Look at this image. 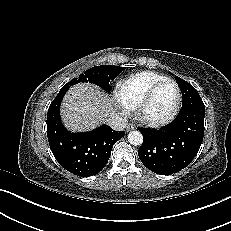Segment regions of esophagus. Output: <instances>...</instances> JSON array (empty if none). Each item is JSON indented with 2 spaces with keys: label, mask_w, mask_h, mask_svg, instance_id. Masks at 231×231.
Here are the masks:
<instances>
[{
  "label": "esophagus",
  "mask_w": 231,
  "mask_h": 231,
  "mask_svg": "<svg viewBox=\"0 0 231 231\" xmlns=\"http://www.w3.org/2000/svg\"><path fill=\"white\" fill-rule=\"evenodd\" d=\"M135 129V125L134 124H128L127 126H126V131L128 132V131H131V130H134Z\"/></svg>",
  "instance_id": "34e87169"
}]
</instances>
